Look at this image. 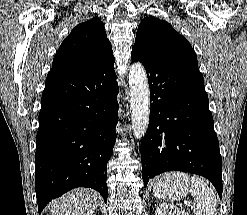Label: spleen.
<instances>
[{
  "instance_id": "obj_1",
  "label": "spleen",
  "mask_w": 247,
  "mask_h": 215,
  "mask_svg": "<svg viewBox=\"0 0 247 215\" xmlns=\"http://www.w3.org/2000/svg\"><path fill=\"white\" fill-rule=\"evenodd\" d=\"M190 194L194 198L191 209L195 215H216L217 198L205 181L197 176L190 180Z\"/></svg>"
}]
</instances>
